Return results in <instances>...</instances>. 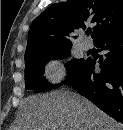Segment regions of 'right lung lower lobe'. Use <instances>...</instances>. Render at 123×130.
Segmentation results:
<instances>
[{"instance_id": "obj_1", "label": "right lung lower lobe", "mask_w": 123, "mask_h": 130, "mask_svg": "<svg viewBox=\"0 0 123 130\" xmlns=\"http://www.w3.org/2000/svg\"><path fill=\"white\" fill-rule=\"evenodd\" d=\"M94 42L99 51L104 52L98 60L101 71L95 73L96 60L88 58L67 80V85H72L101 110L123 123V25L102 34Z\"/></svg>"}]
</instances>
